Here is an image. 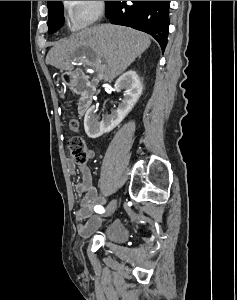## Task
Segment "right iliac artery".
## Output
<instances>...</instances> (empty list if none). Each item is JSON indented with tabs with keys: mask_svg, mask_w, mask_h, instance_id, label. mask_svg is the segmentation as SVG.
<instances>
[{
	"mask_svg": "<svg viewBox=\"0 0 237 300\" xmlns=\"http://www.w3.org/2000/svg\"><path fill=\"white\" fill-rule=\"evenodd\" d=\"M94 210H95V212H97V213H104V212H105L104 208H103L101 205H96V206L94 207Z\"/></svg>",
	"mask_w": 237,
	"mask_h": 300,
	"instance_id": "obj_1",
	"label": "right iliac artery"
}]
</instances>
